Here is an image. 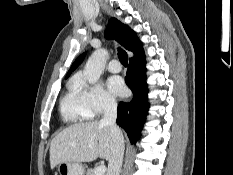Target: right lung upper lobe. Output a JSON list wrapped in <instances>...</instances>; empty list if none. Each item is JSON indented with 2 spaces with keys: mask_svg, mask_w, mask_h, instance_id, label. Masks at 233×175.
<instances>
[{
  "mask_svg": "<svg viewBox=\"0 0 233 175\" xmlns=\"http://www.w3.org/2000/svg\"><path fill=\"white\" fill-rule=\"evenodd\" d=\"M105 35L108 38H116L127 50L132 51L134 56L143 53L142 43L138 39L136 33L116 18H111L109 20ZM84 57L85 54H82L75 60L68 71L66 78L77 68Z\"/></svg>",
  "mask_w": 233,
  "mask_h": 175,
  "instance_id": "1",
  "label": "right lung upper lobe"
}]
</instances>
